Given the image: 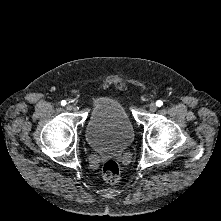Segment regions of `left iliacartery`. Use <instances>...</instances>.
Listing matches in <instances>:
<instances>
[{
    "label": "left iliac artery",
    "instance_id": "1",
    "mask_svg": "<svg viewBox=\"0 0 221 221\" xmlns=\"http://www.w3.org/2000/svg\"><path fill=\"white\" fill-rule=\"evenodd\" d=\"M156 105H157L158 107H161V106L163 105V102H162L161 100H158V101L156 102Z\"/></svg>",
    "mask_w": 221,
    "mask_h": 221
}]
</instances>
